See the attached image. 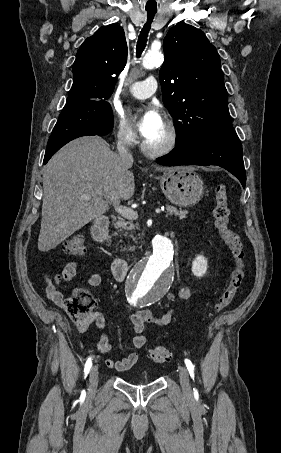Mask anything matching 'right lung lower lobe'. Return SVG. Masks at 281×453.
I'll return each instance as SVG.
<instances>
[{"mask_svg": "<svg viewBox=\"0 0 281 453\" xmlns=\"http://www.w3.org/2000/svg\"><path fill=\"white\" fill-rule=\"evenodd\" d=\"M113 128L110 103L66 104L49 138L43 164L69 141L87 135L103 136Z\"/></svg>", "mask_w": 281, "mask_h": 453, "instance_id": "98d812e1", "label": "right lung lower lobe"}]
</instances>
